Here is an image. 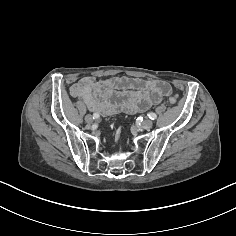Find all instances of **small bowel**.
<instances>
[{
  "instance_id": "1",
  "label": "small bowel",
  "mask_w": 236,
  "mask_h": 236,
  "mask_svg": "<svg viewBox=\"0 0 236 236\" xmlns=\"http://www.w3.org/2000/svg\"><path fill=\"white\" fill-rule=\"evenodd\" d=\"M171 93L166 81L125 76L102 81L85 76L70 87L72 97L83 100L91 111L102 116L142 112Z\"/></svg>"
}]
</instances>
